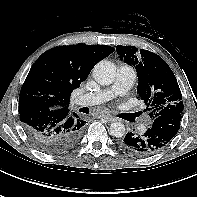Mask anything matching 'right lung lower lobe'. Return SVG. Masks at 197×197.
Returning a JSON list of instances; mask_svg holds the SVG:
<instances>
[{
	"label": "right lung lower lobe",
	"mask_w": 197,
	"mask_h": 197,
	"mask_svg": "<svg viewBox=\"0 0 197 197\" xmlns=\"http://www.w3.org/2000/svg\"><path fill=\"white\" fill-rule=\"evenodd\" d=\"M19 114L23 128L35 146L51 154L72 148L79 141L86 123L68 108L51 109L26 97L19 98Z\"/></svg>",
	"instance_id": "right-lung-lower-lobe-1"
}]
</instances>
